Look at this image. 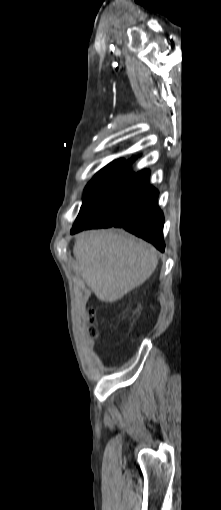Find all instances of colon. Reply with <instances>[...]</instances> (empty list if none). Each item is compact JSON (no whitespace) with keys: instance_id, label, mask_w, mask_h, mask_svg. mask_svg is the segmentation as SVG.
I'll use <instances>...</instances> for the list:
<instances>
[{"instance_id":"colon-1","label":"colon","mask_w":221,"mask_h":510,"mask_svg":"<svg viewBox=\"0 0 221 510\" xmlns=\"http://www.w3.org/2000/svg\"><path fill=\"white\" fill-rule=\"evenodd\" d=\"M89 321H90V322H92V321H93V313H92V311H91V310L89 311ZM89 334H90L91 336H95V332H94L93 330H91V331L89 332Z\"/></svg>"}]
</instances>
